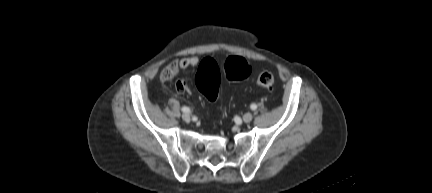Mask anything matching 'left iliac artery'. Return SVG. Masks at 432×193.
Masks as SVG:
<instances>
[{
  "mask_svg": "<svg viewBox=\"0 0 432 193\" xmlns=\"http://www.w3.org/2000/svg\"><path fill=\"white\" fill-rule=\"evenodd\" d=\"M250 108H251L252 110H256V109H257V105H256V104H251Z\"/></svg>",
  "mask_w": 432,
  "mask_h": 193,
  "instance_id": "left-iliac-artery-1",
  "label": "left iliac artery"
}]
</instances>
